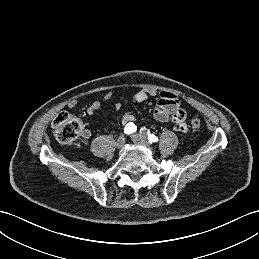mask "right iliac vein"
<instances>
[{"mask_svg":"<svg viewBox=\"0 0 259 259\" xmlns=\"http://www.w3.org/2000/svg\"><path fill=\"white\" fill-rule=\"evenodd\" d=\"M124 144H125V136L121 135L116 140L115 146H116V148H121V147H123Z\"/></svg>","mask_w":259,"mask_h":259,"instance_id":"right-iliac-vein-1","label":"right iliac vein"}]
</instances>
